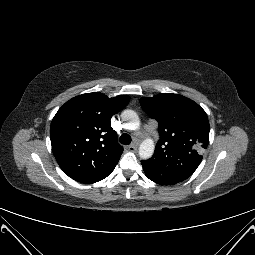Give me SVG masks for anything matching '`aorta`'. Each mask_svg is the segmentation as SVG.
I'll use <instances>...</instances> for the list:
<instances>
[{"instance_id": "1", "label": "aorta", "mask_w": 255, "mask_h": 255, "mask_svg": "<svg viewBox=\"0 0 255 255\" xmlns=\"http://www.w3.org/2000/svg\"><path fill=\"white\" fill-rule=\"evenodd\" d=\"M122 120L127 124L131 130H136L139 127V117L132 110H125L121 114ZM155 150L154 141L151 138H146L142 141L139 147V156L142 159H149L152 157Z\"/></svg>"}]
</instances>
